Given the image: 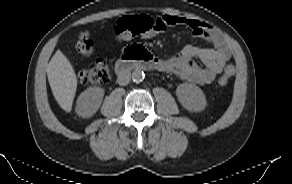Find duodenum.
I'll list each match as a JSON object with an SVG mask.
<instances>
[{"label": "duodenum", "mask_w": 292, "mask_h": 184, "mask_svg": "<svg viewBox=\"0 0 292 184\" xmlns=\"http://www.w3.org/2000/svg\"><path fill=\"white\" fill-rule=\"evenodd\" d=\"M162 59L149 53L144 47L133 46L127 49L123 57L116 63L115 72L117 75H124L129 69L139 70L157 69L163 70Z\"/></svg>", "instance_id": "obj_1"}]
</instances>
